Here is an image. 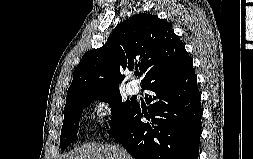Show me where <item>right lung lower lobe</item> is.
<instances>
[{"instance_id":"98d812e1","label":"right lung lower lobe","mask_w":253,"mask_h":159,"mask_svg":"<svg viewBox=\"0 0 253 159\" xmlns=\"http://www.w3.org/2000/svg\"><path fill=\"white\" fill-rule=\"evenodd\" d=\"M144 89L152 91L146 95L148 112L135 103L109 134L135 159H198L202 108L193 66Z\"/></svg>"}]
</instances>
